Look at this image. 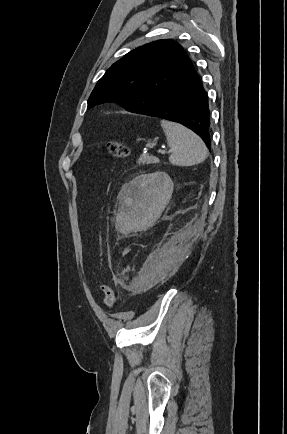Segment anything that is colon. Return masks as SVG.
Wrapping results in <instances>:
<instances>
[{
    "mask_svg": "<svg viewBox=\"0 0 287 434\" xmlns=\"http://www.w3.org/2000/svg\"><path fill=\"white\" fill-rule=\"evenodd\" d=\"M103 149L108 155L114 158H125L129 155V148L120 141H107L104 144ZM101 289L103 294V304L106 307L111 308L114 305L116 298L115 289L108 283L103 284Z\"/></svg>",
    "mask_w": 287,
    "mask_h": 434,
    "instance_id": "5ec220e1",
    "label": "colon"
}]
</instances>
